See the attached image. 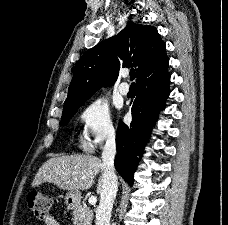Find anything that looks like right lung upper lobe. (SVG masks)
Instances as JSON below:
<instances>
[{
  "label": "right lung upper lobe",
  "instance_id": "1",
  "mask_svg": "<svg viewBox=\"0 0 228 225\" xmlns=\"http://www.w3.org/2000/svg\"><path fill=\"white\" fill-rule=\"evenodd\" d=\"M165 55L157 29L132 21L112 38L87 50L77 62L64 107L90 98L101 86H111L121 67L135 66L137 78Z\"/></svg>",
  "mask_w": 228,
  "mask_h": 225
}]
</instances>
